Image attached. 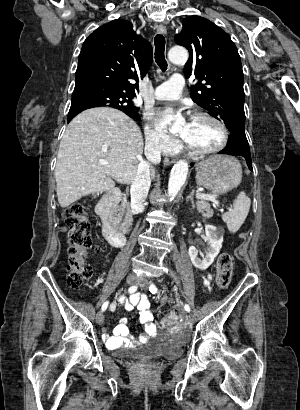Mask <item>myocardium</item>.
<instances>
[{"label": "myocardium", "instance_id": "1", "mask_svg": "<svg viewBox=\"0 0 300 410\" xmlns=\"http://www.w3.org/2000/svg\"><path fill=\"white\" fill-rule=\"evenodd\" d=\"M193 119H207V120L214 122L216 125H218V127L221 129V132H222V141L215 148H212L209 150H201V149H198L192 146L191 144H189L187 141L184 140L185 147L192 154L197 155V156H207V155L218 153L226 147L229 141V129L221 119L207 112H197L194 114Z\"/></svg>", "mask_w": 300, "mask_h": 410}]
</instances>
